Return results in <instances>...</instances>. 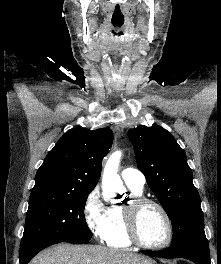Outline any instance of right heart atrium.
I'll return each mask as SVG.
<instances>
[{"label":"right heart atrium","instance_id":"1","mask_svg":"<svg viewBox=\"0 0 221 264\" xmlns=\"http://www.w3.org/2000/svg\"><path fill=\"white\" fill-rule=\"evenodd\" d=\"M83 218L93 236L103 240L109 226L110 208L102 201L98 188L92 189L86 196Z\"/></svg>","mask_w":221,"mask_h":264}]
</instances>
